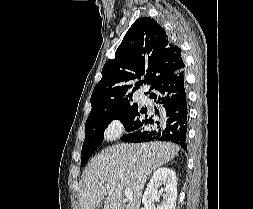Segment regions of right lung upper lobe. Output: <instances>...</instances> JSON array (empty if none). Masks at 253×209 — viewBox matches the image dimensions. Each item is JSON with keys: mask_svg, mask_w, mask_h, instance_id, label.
<instances>
[{"mask_svg": "<svg viewBox=\"0 0 253 209\" xmlns=\"http://www.w3.org/2000/svg\"><path fill=\"white\" fill-rule=\"evenodd\" d=\"M185 65L181 49L172 44L165 30L150 17L136 20L116 50L115 58L102 69V79L91 96L88 117L132 107L135 79L144 77L150 90H157ZM153 95V93H151Z\"/></svg>", "mask_w": 253, "mask_h": 209, "instance_id": "cb5924a9", "label": "right lung upper lobe"}]
</instances>
